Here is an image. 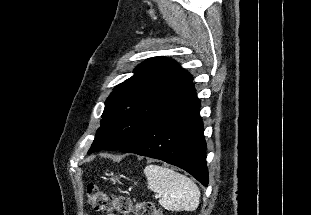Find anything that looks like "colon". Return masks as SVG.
<instances>
[{
  "label": "colon",
  "mask_w": 311,
  "mask_h": 215,
  "mask_svg": "<svg viewBox=\"0 0 311 215\" xmlns=\"http://www.w3.org/2000/svg\"><path fill=\"white\" fill-rule=\"evenodd\" d=\"M87 197L90 206L97 212L109 215H160L155 206L148 201H133L126 196H119L100 189L96 184L87 186Z\"/></svg>",
  "instance_id": "5ec220e1"
}]
</instances>
